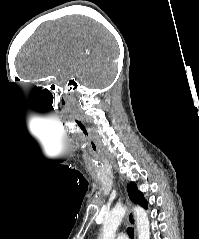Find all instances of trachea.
Listing matches in <instances>:
<instances>
[{"mask_svg":"<svg viewBox=\"0 0 199 239\" xmlns=\"http://www.w3.org/2000/svg\"><path fill=\"white\" fill-rule=\"evenodd\" d=\"M127 232H128V234H129V236H130L131 238H133V236H134V229L131 228V227H128V228H127Z\"/></svg>","mask_w":199,"mask_h":239,"instance_id":"3493384b","label":"trachea"}]
</instances>
